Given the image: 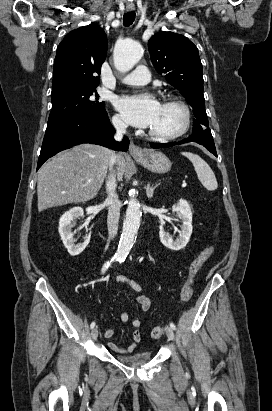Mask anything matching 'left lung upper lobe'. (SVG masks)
<instances>
[{
    "label": "left lung upper lobe",
    "instance_id": "obj_1",
    "mask_svg": "<svg viewBox=\"0 0 272 411\" xmlns=\"http://www.w3.org/2000/svg\"><path fill=\"white\" fill-rule=\"evenodd\" d=\"M151 61L159 74L178 89L193 108L192 133L210 131L203 95V71L197 47L185 36L158 32L148 41Z\"/></svg>",
    "mask_w": 272,
    "mask_h": 411
}]
</instances>
